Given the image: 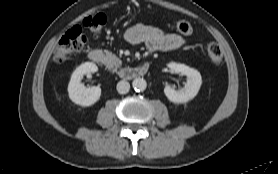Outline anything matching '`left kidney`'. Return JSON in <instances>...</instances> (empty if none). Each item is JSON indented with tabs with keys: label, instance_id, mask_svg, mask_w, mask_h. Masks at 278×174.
I'll use <instances>...</instances> for the list:
<instances>
[{
	"label": "left kidney",
	"instance_id": "obj_1",
	"mask_svg": "<svg viewBox=\"0 0 278 174\" xmlns=\"http://www.w3.org/2000/svg\"><path fill=\"white\" fill-rule=\"evenodd\" d=\"M168 67L175 73L186 75L187 82L185 83V86L178 91L173 89L171 86L166 85L164 88L166 97L173 103H186L193 99L198 94V91L202 85L200 72L184 64L174 62L169 63Z\"/></svg>",
	"mask_w": 278,
	"mask_h": 174
}]
</instances>
